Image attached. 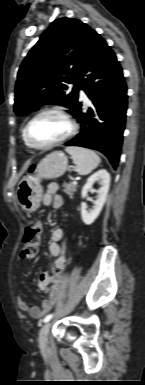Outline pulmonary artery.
I'll return each instance as SVG.
<instances>
[{
	"instance_id": "obj_1",
	"label": "pulmonary artery",
	"mask_w": 145,
	"mask_h": 385,
	"mask_svg": "<svg viewBox=\"0 0 145 385\" xmlns=\"http://www.w3.org/2000/svg\"><path fill=\"white\" fill-rule=\"evenodd\" d=\"M79 94H80L81 99L87 100V96H86V94L84 93L83 90H80Z\"/></svg>"
}]
</instances>
